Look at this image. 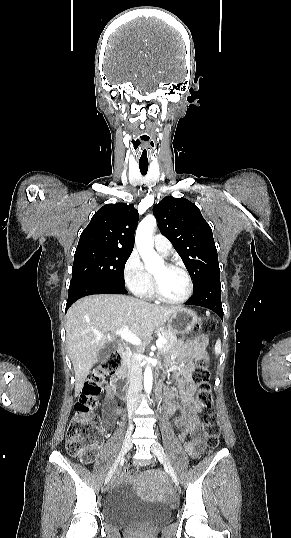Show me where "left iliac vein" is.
<instances>
[{"instance_id": "1", "label": "left iliac vein", "mask_w": 291, "mask_h": 538, "mask_svg": "<svg viewBox=\"0 0 291 538\" xmlns=\"http://www.w3.org/2000/svg\"><path fill=\"white\" fill-rule=\"evenodd\" d=\"M151 451L159 458L161 459L166 467H167V470L173 480V482L178 485V477H177V474L172 466V464L170 463V460L168 459L166 453L164 452V449L163 447L158 443V442H155L152 444L151 446Z\"/></svg>"}]
</instances>
